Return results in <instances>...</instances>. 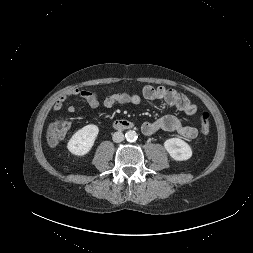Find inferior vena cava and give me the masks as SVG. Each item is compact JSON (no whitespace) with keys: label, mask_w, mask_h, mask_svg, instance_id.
<instances>
[{"label":"inferior vena cava","mask_w":253,"mask_h":253,"mask_svg":"<svg viewBox=\"0 0 253 253\" xmlns=\"http://www.w3.org/2000/svg\"><path fill=\"white\" fill-rule=\"evenodd\" d=\"M112 139L116 143H120L124 140V134L120 131H117L113 134Z\"/></svg>","instance_id":"inferior-vena-cava-1"}]
</instances>
